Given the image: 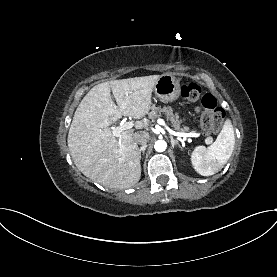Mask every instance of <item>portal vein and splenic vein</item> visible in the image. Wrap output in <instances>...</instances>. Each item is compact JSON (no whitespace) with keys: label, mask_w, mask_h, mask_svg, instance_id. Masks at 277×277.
<instances>
[{"label":"portal vein and splenic vein","mask_w":277,"mask_h":277,"mask_svg":"<svg viewBox=\"0 0 277 277\" xmlns=\"http://www.w3.org/2000/svg\"><path fill=\"white\" fill-rule=\"evenodd\" d=\"M157 123L161 126H163L171 135H174V136H177V137H182L183 139H187V138H190V137H199L200 136V133H185V132H176L174 130H172L167 124L166 122L161 119V118H158L157 119ZM134 126V123L133 121H127V122H122L120 124V126L114 128L112 130V133L115 137H121V133L125 130H129L131 128H133ZM206 143H211L212 142V138H207L205 140Z\"/></svg>","instance_id":"1"}]
</instances>
